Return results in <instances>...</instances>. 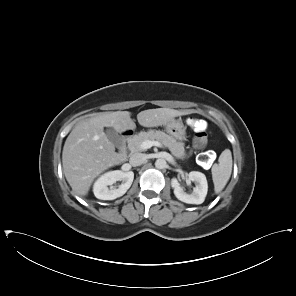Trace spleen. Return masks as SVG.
Listing matches in <instances>:
<instances>
[{
	"label": "spleen",
	"instance_id": "obj_1",
	"mask_svg": "<svg viewBox=\"0 0 296 296\" xmlns=\"http://www.w3.org/2000/svg\"><path fill=\"white\" fill-rule=\"evenodd\" d=\"M232 172V154L229 149L224 150L219 157V164L212 169L213 183L216 193H220L226 186Z\"/></svg>",
	"mask_w": 296,
	"mask_h": 296
}]
</instances>
